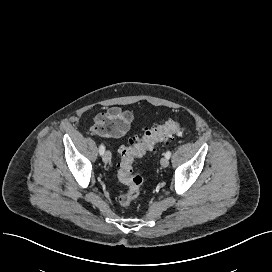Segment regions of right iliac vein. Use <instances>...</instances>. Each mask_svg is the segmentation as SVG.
Returning a JSON list of instances; mask_svg holds the SVG:
<instances>
[{"label": "right iliac vein", "mask_w": 272, "mask_h": 272, "mask_svg": "<svg viewBox=\"0 0 272 272\" xmlns=\"http://www.w3.org/2000/svg\"><path fill=\"white\" fill-rule=\"evenodd\" d=\"M102 159L104 163H109L111 161V153L108 150L105 151Z\"/></svg>", "instance_id": "63e3f726"}]
</instances>
